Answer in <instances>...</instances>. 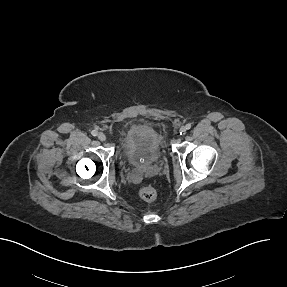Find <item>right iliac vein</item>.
<instances>
[{
	"label": "right iliac vein",
	"instance_id": "right-iliac-vein-1",
	"mask_svg": "<svg viewBox=\"0 0 287 287\" xmlns=\"http://www.w3.org/2000/svg\"><path fill=\"white\" fill-rule=\"evenodd\" d=\"M98 139L103 142V141L106 140V135L104 133H99L98 134Z\"/></svg>",
	"mask_w": 287,
	"mask_h": 287
}]
</instances>
